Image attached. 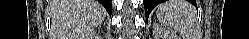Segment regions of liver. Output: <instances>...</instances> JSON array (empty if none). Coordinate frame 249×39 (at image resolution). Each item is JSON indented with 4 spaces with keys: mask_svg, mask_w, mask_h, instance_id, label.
Listing matches in <instances>:
<instances>
[{
    "mask_svg": "<svg viewBox=\"0 0 249 39\" xmlns=\"http://www.w3.org/2000/svg\"><path fill=\"white\" fill-rule=\"evenodd\" d=\"M55 22L63 25L73 39H85L106 17L96 0H55Z\"/></svg>",
    "mask_w": 249,
    "mask_h": 39,
    "instance_id": "1",
    "label": "liver"
}]
</instances>
